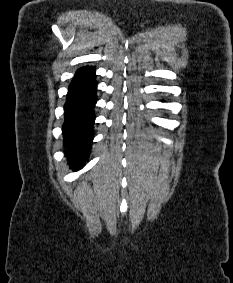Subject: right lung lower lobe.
<instances>
[{
    "label": "right lung lower lobe",
    "instance_id": "right-lung-lower-lobe-1",
    "mask_svg": "<svg viewBox=\"0 0 233 283\" xmlns=\"http://www.w3.org/2000/svg\"><path fill=\"white\" fill-rule=\"evenodd\" d=\"M96 87L95 69L90 66L80 68L69 86L62 130L66 156L73 170L83 167L90 153Z\"/></svg>",
    "mask_w": 233,
    "mask_h": 283
}]
</instances>
